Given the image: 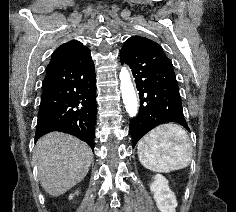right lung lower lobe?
I'll return each instance as SVG.
<instances>
[{"label":"right lung lower lobe","mask_w":236,"mask_h":212,"mask_svg":"<svg viewBox=\"0 0 236 212\" xmlns=\"http://www.w3.org/2000/svg\"><path fill=\"white\" fill-rule=\"evenodd\" d=\"M96 79L89 49L82 46L46 68L35 141L62 131L86 142L94 151Z\"/></svg>","instance_id":"obj_1"}]
</instances>
